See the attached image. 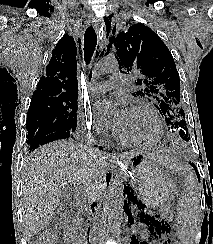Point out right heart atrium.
I'll return each mask as SVG.
<instances>
[{
  "label": "right heart atrium",
  "mask_w": 213,
  "mask_h": 244,
  "mask_svg": "<svg viewBox=\"0 0 213 244\" xmlns=\"http://www.w3.org/2000/svg\"><path fill=\"white\" fill-rule=\"evenodd\" d=\"M107 133V129L95 122L91 112L83 111L79 115L76 134L78 137L86 140H95Z\"/></svg>",
  "instance_id": "1"
}]
</instances>
